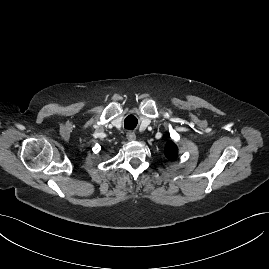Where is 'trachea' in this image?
Here are the masks:
<instances>
[{"mask_svg":"<svg viewBox=\"0 0 269 269\" xmlns=\"http://www.w3.org/2000/svg\"><path fill=\"white\" fill-rule=\"evenodd\" d=\"M138 120L134 115H129L124 120V127L128 130H133L137 126Z\"/></svg>","mask_w":269,"mask_h":269,"instance_id":"3493384b","label":"trachea"}]
</instances>
